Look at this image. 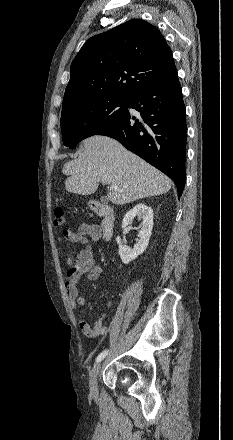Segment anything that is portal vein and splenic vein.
<instances>
[{
	"instance_id": "18ae733b",
	"label": "portal vein and splenic vein",
	"mask_w": 233,
	"mask_h": 440,
	"mask_svg": "<svg viewBox=\"0 0 233 440\" xmlns=\"http://www.w3.org/2000/svg\"><path fill=\"white\" fill-rule=\"evenodd\" d=\"M117 189V186L116 185H110V190H116Z\"/></svg>"
}]
</instances>
